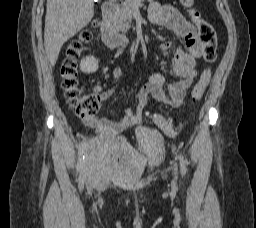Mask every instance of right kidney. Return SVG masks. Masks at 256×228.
<instances>
[{
	"label": "right kidney",
	"instance_id": "right-kidney-1",
	"mask_svg": "<svg viewBox=\"0 0 256 228\" xmlns=\"http://www.w3.org/2000/svg\"><path fill=\"white\" fill-rule=\"evenodd\" d=\"M80 69L83 73H94L98 69V60L93 56H87L81 60Z\"/></svg>",
	"mask_w": 256,
	"mask_h": 228
}]
</instances>
